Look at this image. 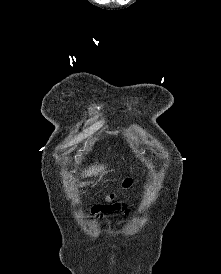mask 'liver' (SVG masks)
<instances>
[{"label": "liver", "instance_id": "obj_1", "mask_svg": "<svg viewBox=\"0 0 221 274\" xmlns=\"http://www.w3.org/2000/svg\"><path fill=\"white\" fill-rule=\"evenodd\" d=\"M106 167H104V165H100V166H92L90 167L88 170L84 171V175L87 176H100V179L103 177V175L106 173L105 172Z\"/></svg>", "mask_w": 221, "mask_h": 274}]
</instances>
